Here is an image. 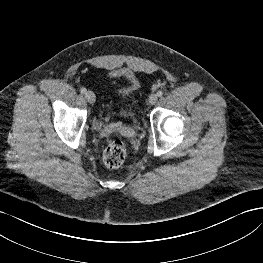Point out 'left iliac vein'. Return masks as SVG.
Instances as JSON below:
<instances>
[{
  "label": "left iliac vein",
  "instance_id": "left-iliac-vein-1",
  "mask_svg": "<svg viewBox=\"0 0 263 263\" xmlns=\"http://www.w3.org/2000/svg\"><path fill=\"white\" fill-rule=\"evenodd\" d=\"M158 100V95L156 94H152L150 97H149V104L150 105H154Z\"/></svg>",
  "mask_w": 263,
  "mask_h": 263
}]
</instances>
